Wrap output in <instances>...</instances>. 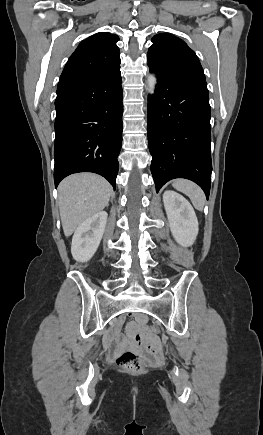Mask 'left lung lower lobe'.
Masks as SVG:
<instances>
[{
	"instance_id": "obj_1",
	"label": "left lung lower lobe",
	"mask_w": 263,
	"mask_h": 435,
	"mask_svg": "<svg viewBox=\"0 0 263 435\" xmlns=\"http://www.w3.org/2000/svg\"><path fill=\"white\" fill-rule=\"evenodd\" d=\"M148 66L158 79L147 110L156 191L171 179L186 178L197 183L208 198L212 171L208 89Z\"/></svg>"
}]
</instances>
